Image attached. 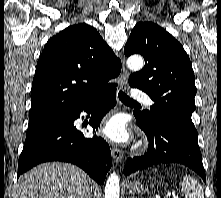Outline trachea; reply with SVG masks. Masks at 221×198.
Masks as SVG:
<instances>
[{
  "instance_id": "trachea-1",
  "label": "trachea",
  "mask_w": 221,
  "mask_h": 198,
  "mask_svg": "<svg viewBox=\"0 0 221 198\" xmlns=\"http://www.w3.org/2000/svg\"><path fill=\"white\" fill-rule=\"evenodd\" d=\"M118 97L119 99L126 104H137L136 101L132 100L131 98H129L125 93H123L122 91H119L118 93Z\"/></svg>"
}]
</instances>
